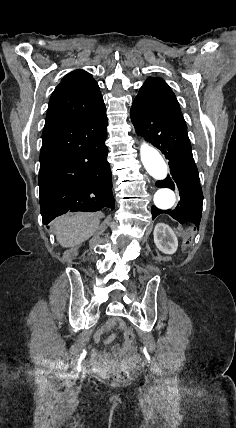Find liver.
Wrapping results in <instances>:
<instances>
[{
	"label": "liver",
	"mask_w": 236,
	"mask_h": 428,
	"mask_svg": "<svg viewBox=\"0 0 236 428\" xmlns=\"http://www.w3.org/2000/svg\"><path fill=\"white\" fill-rule=\"evenodd\" d=\"M100 220L97 214H66L52 222V228L62 248H73L89 240L98 230Z\"/></svg>",
	"instance_id": "liver-1"
}]
</instances>
